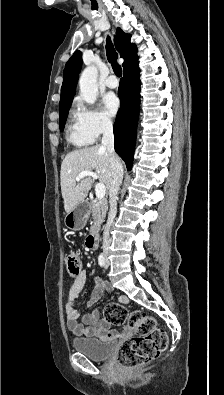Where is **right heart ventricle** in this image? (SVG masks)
I'll return each instance as SVG.
<instances>
[{
  "label": "right heart ventricle",
  "instance_id": "right-heart-ventricle-1",
  "mask_svg": "<svg viewBox=\"0 0 224 395\" xmlns=\"http://www.w3.org/2000/svg\"><path fill=\"white\" fill-rule=\"evenodd\" d=\"M67 140L77 147H85L93 142V139L82 130L75 116L68 124Z\"/></svg>",
  "mask_w": 224,
  "mask_h": 395
}]
</instances>
